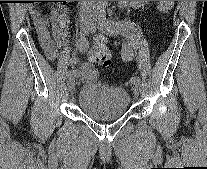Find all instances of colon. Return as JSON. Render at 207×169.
<instances>
[{
  "instance_id": "1",
  "label": "colon",
  "mask_w": 207,
  "mask_h": 169,
  "mask_svg": "<svg viewBox=\"0 0 207 169\" xmlns=\"http://www.w3.org/2000/svg\"><path fill=\"white\" fill-rule=\"evenodd\" d=\"M174 1H159L158 10L168 12L173 7ZM90 61L97 66L108 67L111 63V54L106 41L98 38L89 52Z\"/></svg>"
}]
</instances>
